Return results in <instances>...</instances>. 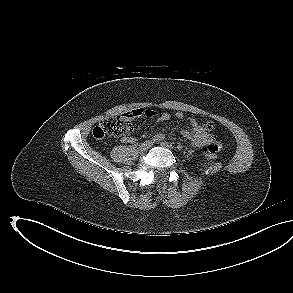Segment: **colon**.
<instances>
[{
  "label": "colon",
  "mask_w": 293,
  "mask_h": 293,
  "mask_svg": "<svg viewBox=\"0 0 293 293\" xmlns=\"http://www.w3.org/2000/svg\"><path fill=\"white\" fill-rule=\"evenodd\" d=\"M133 131L131 121L124 116L110 117L103 120L93 129V137L97 140L106 137L127 136ZM208 159L214 160L217 155L213 151H204Z\"/></svg>",
  "instance_id": "obj_1"
}]
</instances>
